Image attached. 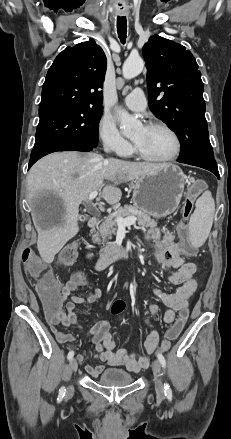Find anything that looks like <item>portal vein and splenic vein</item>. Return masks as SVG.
<instances>
[{
  "label": "portal vein and splenic vein",
  "mask_w": 231,
  "mask_h": 439,
  "mask_svg": "<svg viewBox=\"0 0 231 439\" xmlns=\"http://www.w3.org/2000/svg\"><path fill=\"white\" fill-rule=\"evenodd\" d=\"M97 195H98V191L97 190L91 192L89 194L88 200L92 201L93 199H95L97 197ZM136 220L137 219H136L135 216H129L127 218L118 217L116 219L118 227H125V226L133 225V224H135Z\"/></svg>",
  "instance_id": "1"
}]
</instances>
